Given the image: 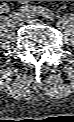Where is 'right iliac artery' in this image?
I'll return each mask as SVG.
<instances>
[{
	"label": "right iliac artery",
	"instance_id": "1",
	"mask_svg": "<svg viewBox=\"0 0 74 122\" xmlns=\"http://www.w3.org/2000/svg\"><path fill=\"white\" fill-rule=\"evenodd\" d=\"M1 10H2L3 12H9V5H8L7 3H3V4L1 5Z\"/></svg>",
	"mask_w": 74,
	"mask_h": 122
}]
</instances>
